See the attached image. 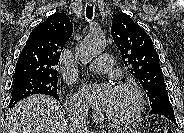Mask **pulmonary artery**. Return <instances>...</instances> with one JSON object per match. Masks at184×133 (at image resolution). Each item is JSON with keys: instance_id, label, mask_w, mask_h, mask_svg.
<instances>
[{"instance_id": "obj_1", "label": "pulmonary artery", "mask_w": 184, "mask_h": 133, "mask_svg": "<svg viewBox=\"0 0 184 133\" xmlns=\"http://www.w3.org/2000/svg\"><path fill=\"white\" fill-rule=\"evenodd\" d=\"M88 67L95 73H106L113 67V57L110 54H101L96 60L91 62Z\"/></svg>"}]
</instances>
